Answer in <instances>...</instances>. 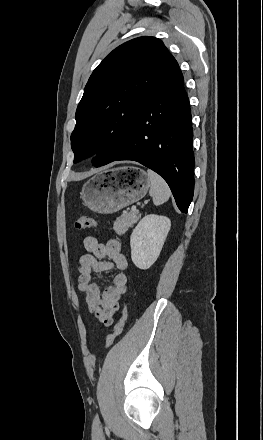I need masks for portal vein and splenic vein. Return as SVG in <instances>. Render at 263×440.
Wrapping results in <instances>:
<instances>
[{
    "label": "portal vein and splenic vein",
    "mask_w": 263,
    "mask_h": 440,
    "mask_svg": "<svg viewBox=\"0 0 263 440\" xmlns=\"http://www.w3.org/2000/svg\"><path fill=\"white\" fill-rule=\"evenodd\" d=\"M131 210H132V211H136V206L133 205V206L131 207Z\"/></svg>",
    "instance_id": "1"
}]
</instances>
